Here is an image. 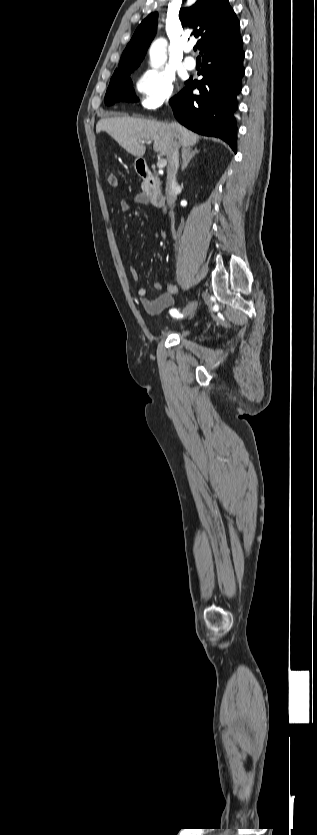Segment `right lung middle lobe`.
I'll use <instances>...</instances> for the list:
<instances>
[{"label":"right lung middle lobe","mask_w":317,"mask_h":835,"mask_svg":"<svg viewBox=\"0 0 317 835\" xmlns=\"http://www.w3.org/2000/svg\"><path fill=\"white\" fill-rule=\"evenodd\" d=\"M134 69L115 70L105 95V103L112 105L118 101H135V93L130 74Z\"/></svg>","instance_id":"dd1d6c3e"}]
</instances>
